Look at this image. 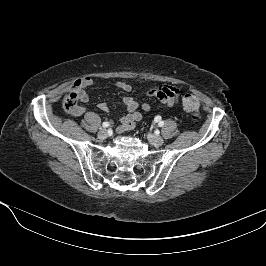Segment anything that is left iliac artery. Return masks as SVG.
Here are the masks:
<instances>
[{
	"label": "left iliac artery",
	"mask_w": 266,
	"mask_h": 266,
	"mask_svg": "<svg viewBox=\"0 0 266 266\" xmlns=\"http://www.w3.org/2000/svg\"><path fill=\"white\" fill-rule=\"evenodd\" d=\"M156 118L158 119V118H160V117L157 116ZM158 125H159L160 127H162V126L164 125V121H160V122L158 123Z\"/></svg>",
	"instance_id": "left-iliac-artery-1"
}]
</instances>
